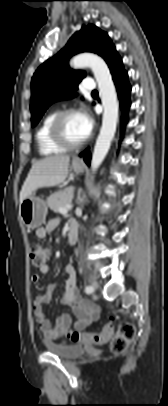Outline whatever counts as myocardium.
Wrapping results in <instances>:
<instances>
[{
    "mask_svg": "<svg viewBox=\"0 0 168 406\" xmlns=\"http://www.w3.org/2000/svg\"><path fill=\"white\" fill-rule=\"evenodd\" d=\"M76 113H78V111L74 108H67V109L61 110L58 113H56V115L54 116V118L50 124L49 133H50L51 140L55 144L65 148V149H74V148L81 147L88 139V137H86L81 141L72 142V141H69L66 138V136L64 135V131H63L64 120L69 115L76 114Z\"/></svg>",
    "mask_w": 168,
    "mask_h": 406,
    "instance_id": "1",
    "label": "myocardium"
}]
</instances>
